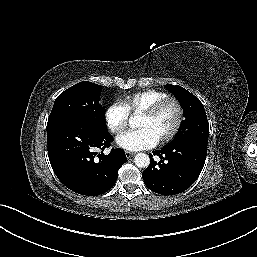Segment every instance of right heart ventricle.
<instances>
[{"label":"right heart ventricle","instance_id":"e07e8e85","mask_svg":"<svg viewBox=\"0 0 257 257\" xmlns=\"http://www.w3.org/2000/svg\"><path fill=\"white\" fill-rule=\"evenodd\" d=\"M167 97H169V95L164 91L148 89L126 96L123 100V104L126 106L129 113L138 114Z\"/></svg>","mask_w":257,"mask_h":257}]
</instances>
